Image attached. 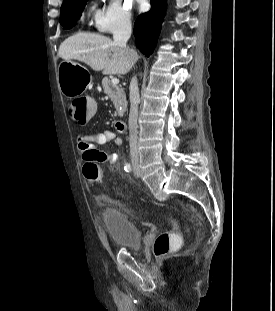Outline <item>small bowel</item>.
Segmentation results:
<instances>
[{"label": "small bowel", "mask_w": 275, "mask_h": 311, "mask_svg": "<svg viewBox=\"0 0 275 311\" xmlns=\"http://www.w3.org/2000/svg\"><path fill=\"white\" fill-rule=\"evenodd\" d=\"M110 141L113 142L115 147H121L123 144V140L114 131L87 132L77 137L76 148L81 158L86 162L102 160L114 164L118 161L117 154L104 153L103 149L96 148V146L104 145Z\"/></svg>", "instance_id": "obj_1"}]
</instances>
